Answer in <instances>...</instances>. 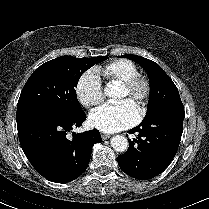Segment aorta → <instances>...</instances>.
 Listing matches in <instances>:
<instances>
[{"label":"aorta","mask_w":209,"mask_h":209,"mask_svg":"<svg viewBox=\"0 0 209 209\" xmlns=\"http://www.w3.org/2000/svg\"><path fill=\"white\" fill-rule=\"evenodd\" d=\"M106 96L115 98L119 94V88L115 86H108L105 90ZM111 147L116 152H125L128 149V140L122 135H115L110 140Z\"/></svg>","instance_id":"1"}]
</instances>
